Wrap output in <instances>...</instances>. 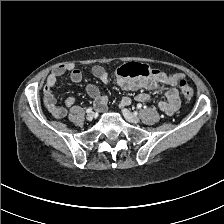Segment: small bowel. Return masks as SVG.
<instances>
[{
    "instance_id": "1",
    "label": "small bowel",
    "mask_w": 224,
    "mask_h": 224,
    "mask_svg": "<svg viewBox=\"0 0 224 224\" xmlns=\"http://www.w3.org/2000/svg\"><path fill=\"white\" fill-rule=\"evenodd\" d=\"M69 71L70 80L74 83L82 81V72L70 65H62L54 69L47 77L44 85V103L49 113L55 118H63L66 115V109L58 106L52 88L56 84L59 77L63 76L65 72ZM92 75L99 79L102 83L109 82V75L106 70L99 65H96L91 70ZM181 78L179 74H168L157 71L146 77L124 78L120 75L116 79V84L125 91L143 90L135 96V100L139 102H147L151 96L149 90H157L164 88V99L157 102V107L168 115L175 113L180 106L179 94L177 91V83ZM145 90V91H144ZM88 95L93 99L95 107L99 112H103L106 107L107 97L102 94L100 89L94 84L86 86ZM132 99L124 97L120 102V107L128 106ZM65 104L72 107L75 104V98L70 96L66 99Z\"/></svg>"
}]
</instances>
